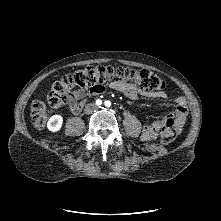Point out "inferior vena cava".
Wrapping results in <instances>:
<instances>
[{
    "mask_svg": "<svg viewBox=\"0 0 221 221\" xmlns=\"http://www.w3.org/2000/svg\"><path fill=\"white\" fill-rule=\"evenodd\" d=\"M95 109H96V105L90 103V104H88V105L86 106L85 112H91V111H93V110H95Z\"/></svg>",
    "mask_w": 221,
    "mask_h": 221,
    "instance_id": "inferior-vena-cava-1",
    "label": "inferior vena cava"
}]
</instances>
